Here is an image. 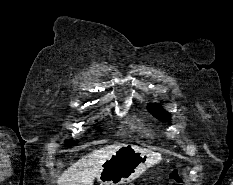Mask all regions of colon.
<instances>
[{
  "label": "colon",
  "instance_id": "5ec220e1",
  "mask_svg": "<svg viewBox=\"0 0 233 185\" xmlns=\"http://www.w3.org/2000/svg\"><path fill=\"white\" fill-rule=\"evenodd\" d=\"M171 185H182V177L178 169H174L170 173Z\"/></svg>",
  "mask_w": 233,
  "mask_h": 185
}]
</instances>
